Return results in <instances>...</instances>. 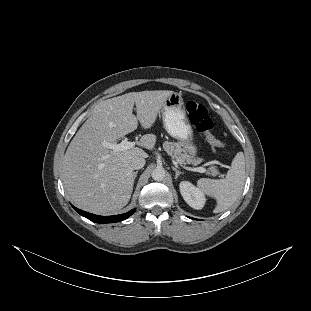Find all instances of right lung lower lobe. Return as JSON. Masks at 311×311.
Listing matches in <instances>:
<instances>
[{"label": "right lung lower lobe", "instance_id": "1", "mask_svg": "<svg viewBox=\"0 0 311 311\" xmlns=\"http://www.w3.org/2000/svg\"><path fill=\"white\" fill-rule=\"evenodd\" d=\"M80 215L88 218L89 220L96 222V223H113V222H119L122 221L126 218H128L129 216H131L134 212L135 209L124 213V214H120V215H115V216H99V215H94L85 211H82L80 209H77L76 207L72 206Z\"/></svg>", "mask_w": 311, "mask_h": 311}]
</instances>
